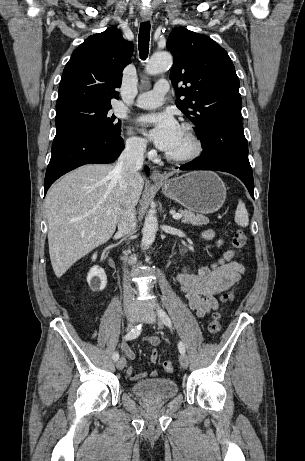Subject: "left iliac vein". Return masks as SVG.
I'll return each instance as SVG.
<instances>
[{
  "label": "left iliac vein",
  "instance_id": "obj_1",
  "mask_svg": "<svg viewBox=\"0 0 305 461\" xmlns=\"http://www.w3.org/2000/svg\"><path fill=\"white\" fill-rule=\"evenodd\" d=\"M139 320L148 324H154L157 321V315L154 311L151 310H144L138 313ZM180 364L183 368L188 367V357L185 353H182L179 358Z\"/></svg>",
  "mask_w": 305,
  "mask_h": 461
}]
</instances>
